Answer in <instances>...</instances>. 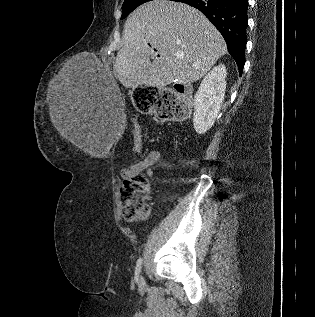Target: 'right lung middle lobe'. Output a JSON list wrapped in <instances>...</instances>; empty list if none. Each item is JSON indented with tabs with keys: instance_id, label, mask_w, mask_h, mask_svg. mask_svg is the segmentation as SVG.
Returning <instances> with one entry per match:
<instances>
[{
	"instance_id": "obj_1",
	"label": "right lung middle lobe",
	"mask_w": 315,
	"mask_h": 317,
	"mask_svg": "<svg viewBox=\"0 0 315 317\" xmlns=\"http://www.w3.org/2000/svg\"><path fill=\"white\" fill-rule=\"evenodd\" d=\"M148 1H152V0H124L123 6H122L121 19H124L135 8H137L141 4L146 3ZM172 1H175V0H172Z\"/></svg>"
}]
</instances>
